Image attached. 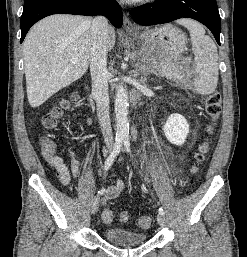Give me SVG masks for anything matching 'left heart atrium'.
Here are the masks:
<instances>
[{"label":"left heart atrium","instance_id":"left-heart-atrium-1","mask_svg":"<svg viewBox=\"0 0 247 257\" xmlns=\"http://www.w3.org/2000/svg\"><path fill=\"white\" fill-rule=\"evenodd\" d=\"M129 1H138V0H129Z\"/></svg>","mask_w":247,"mask_h":257}]
</instances>
